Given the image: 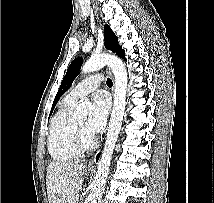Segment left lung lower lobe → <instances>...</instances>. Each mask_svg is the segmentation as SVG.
Listing matches in <instances>:
<instances>
[{
  "label": "left lung lower lobe",
  "instance_id": "0a47b994",
  "mask_svg": "<svg viewBox=\"0 0 214 203\" xmlns=\"http://www.w3.org/2000/svg\"><path fill=\"white\" fill-rule=\"evenodd\" d=\"M100 154L97 155V160L99 159Z\"/></svg>",
  "mask_w": 214,
  "mask_h": 203
}]
</instances>
